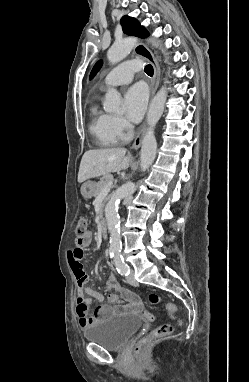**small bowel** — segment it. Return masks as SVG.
Instances as JSON below:
<instances>
[{"instance_id":"obj_1","label":"small bowel","mask_w":249,"mask_h":382,"mask_svg":"<svg viewBox=\"0 0 249 382\" xmlns=\"http://www.w3.org/2000/svg\"><path fill=\"white\" fill-rule=\"evenodd\" d=\"M91 241L92 233L88 231L83 241H78V239L75 240L73 249L75 252L71 251L67 253V258L70 261L71 268L77 280L78 295L76 298V313L79 317V325L82 328H86L99 320L109 317L113 312H124L126 310L137 312L142 307V302L138 297L123 289L116 278L114 276H110L106 283L107 290L123 296L128 302L127 308L125 309L118 306L112 310L105 305H99L95 308L93 315L88 316V306L91 301L97 300L101 302L104 300L102 293L95 291L92 287L86 285L89 280L88 275L81 277L78 276L77 273L79 268H83V265L80 264L84 259L83 252L86 251V247L90 245ZM83 293H85L88 297H84ZM109 300L111 302L117 301L116 294H111L109 296Z\"/></svg>"}]
</instances>
